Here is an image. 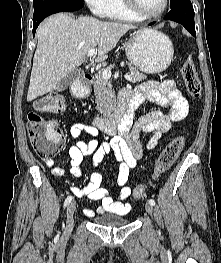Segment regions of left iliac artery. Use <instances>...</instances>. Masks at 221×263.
<instances>
[{"label":"left iliac artery","instance_id":"44dca946","mask_svg":"<svg viewBox=\"0 0 221 263\" xmlns=\"http://www.w3.org/2000/svg\"><path fill=\"white\" fill-rule=\"evenodd\" d=\"M148 202H149V204H151L152 206L155 205V200H154V199H150Z\"/></svg>","mask_w":221,"mask_h":263}]
</instances>
